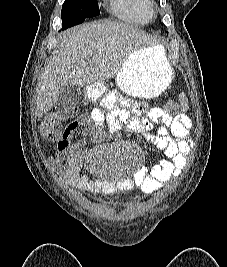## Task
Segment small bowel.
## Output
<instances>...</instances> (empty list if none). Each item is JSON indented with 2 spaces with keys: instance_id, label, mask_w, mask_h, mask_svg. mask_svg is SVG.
I'll return each mask as SVG.
<instances>
[{
  "instance_id": "1",
  "label": "small bowel",
  "mask_w": 227,
  "mask_h": 267,
  "mask_svg": "<svg viewBox=\"0 0 227 267\" xmlns=\"http://www.w3.org/2000/svg\"><path fill=\"white\" fill-rule=\"evenodd\" d=\"M117 104L118 95L109 94L89 114L70 123L63 131L64 142L57 145L52 164L62 173L66 183L83 192L105 196L133 188L155 192L180 175L194 148L193 141L188 137L185 118L181 115L172 116L159 107L126 103V108L122 109ZM120 124L146 136L154 147L165 152L166 158L150 172L145 166H140L133 176L115 183L88 177L82 170L86 152L79 143L71 141L73 135L84 128V134L95 141L100 139L106 126L113 130Z\"/></svg>"
}]
</instances>
